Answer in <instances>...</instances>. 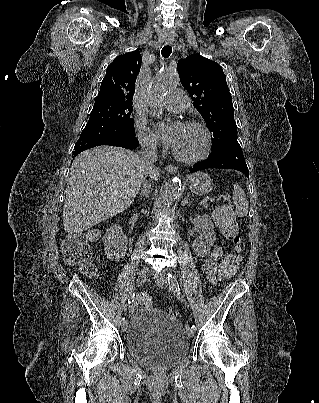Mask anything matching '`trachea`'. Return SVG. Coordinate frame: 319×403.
<instances>
[{
  "mask_svg": "<svg viewBox=\"0 0 319 403\" xmlns=\"http://www.w3.org/2000/svg\"><path fill=\"white\" fill-rule=\"evenodd\" d=\"M172 53V47L170 45H166L162 48L161 54L164 58H167Z\"/></svg>",
  "mask_w": 319,
  "mask_h": 403,
  "instance_id": "1",
  "label": "trachea"
}]
</instances>
